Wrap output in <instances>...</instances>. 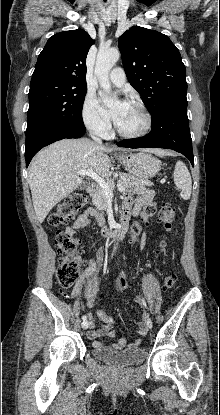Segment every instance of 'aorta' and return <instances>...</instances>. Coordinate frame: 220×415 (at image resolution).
Segmentation results:
<instances>
[{
    "mask_svg": "<svg viewBox=\"0 0 220 415\" xmlns=\"http://www.w3.org/2000/svg\"><path fill=\"white\" fill-rule=\"evenodd\" d=\"M120 52L117 49H100L95 64V75L99 80V84L103 89L102 101L107 106H112L118 102L116 95L111 92L109 82V72L119 60Z\"/></svg>",
    "mask_w": 220,
    "mask_h": 415,
    "instance_id": "762f6f07",
    "label": "aorta"
}]
</instances>
